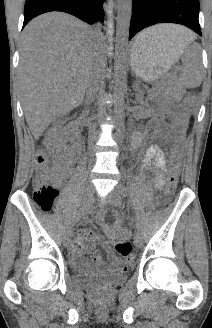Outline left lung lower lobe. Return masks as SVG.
Masks as SVG:
<instances>
[{
	"label": "left lung lower lobe",
	"mask_w": 212,
	"mask_h": 328,
	"mask_svg": "<svg viewBox=\"0 0 212 328\" xmlns=\"http://www.w3.org/2000/svg\"><path fill=\"white\" fill-rule=\"evenodd\" d=\"M198 16L199 0H132L129 40L157 23L182 24L202 35Z\"/></svg>",
	"instance_id": "left-lung-lower-lobe-1"
}]
</instances>
